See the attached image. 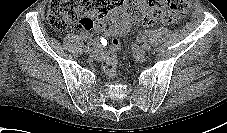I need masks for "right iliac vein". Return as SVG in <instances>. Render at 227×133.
<instances>
[{
  "label": "right iliac vein",
  "mask_w": 227,
  "mask_h": 133,
  "mask_svg": "<svg viewBox=\"0 0 227 133\" xmlns=\"http://www.w3.org/2000/svg\"><path fill=\"white\" fill-rule=\"evenodd\" d=\"M97 47L96 46H93V47H90L89 49H88V53L90 54V55H92V56H94V55H96L97 54Z\"/></svg>",
  "instance_id": "63e3f726"
}]
</instances>
